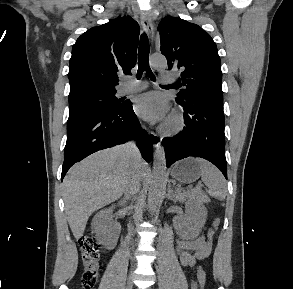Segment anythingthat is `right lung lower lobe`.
<instances>
[{"instance_id": "98d812e1", "label": "right lung lower lobe", "mask_w": 293, "mask_h": 289, "mask_svg": "<svg viewBox=\"0 0 293 289\" xmlns=\"http://www.w3.org/2000/svg\"><path fill=\"white\" fill-rule=\"evenodd\" d=\"M134 136H138L137 146L142 157L150 162L152 140L146 131H140L139 121L130 102L121 109L95 114L67 125L61 178L74 163L98 150L125 143Z\"/></svg>"}]
</instances>
